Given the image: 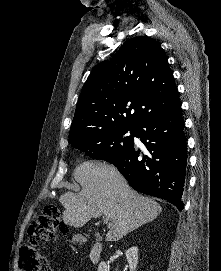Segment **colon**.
<instances>
[{"label": "colon", "instance_id": "obj_1", "mask_svg": "<svg viewBox=\"0 0 221 271\" xmlns=\"http://www.w3.org/2000/svg\"><path fill=\"white\" fill-rule=\"evenodd\" d=\"M60 224L58 208L55 205L45 206L42 213L33 220L30 228L31 241L19 248L21 271H50L46 257L34 244L53 241Z\"/></svg>", "mask_w": 221, "mask_h": 271}]
</instances>
